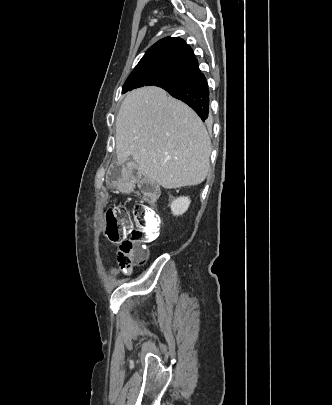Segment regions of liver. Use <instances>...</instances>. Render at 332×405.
<instances>
[{
	"instance_id": "6515ba94",
	"label": "liver",
	"mask_w": 332,
	"mask_h": 405,
	"mask_svg": "<svg viewBox=\"0 0 332 405\" xmlns=\"http://www.w3.org/2000/svg\"><path fill=\"white\" fill-rule=\"evenodd\" d=\"M119 164L131 156L138 171L166 189L194 186L209 171L211 141L198 115L159 87L127 93L116 117Z\"/></svg>"
}]
</instances>
